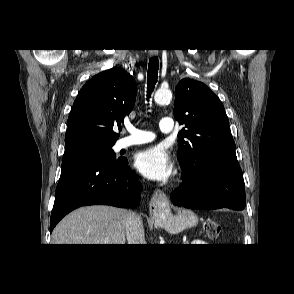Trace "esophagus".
Wrapping results in <instances>:
<instances>
[{"label": "esophagus", "mask_w": 294, "mask_h": 294, "mask_svg": "<svg viewBox=\"0 0 294 294\" xmlns=\"http://www.w3.org/2000/svg\"><path fill=\"white\" fill-rule=\"evenodd\" d=\"M158 54V51L154 50L151 55ZM170 211V202L167 195L160 189H155L152 199L149 205V214L154 221H159L160 217Z\"/></svg>", "instance_id": "obj_1"}]
</instances>
